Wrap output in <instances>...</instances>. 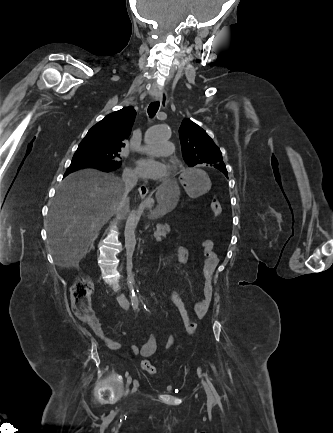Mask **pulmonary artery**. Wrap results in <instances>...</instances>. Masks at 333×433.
Listing matches in <instances>:
<instances>
[{"label":"pulmonary artery","mask_w":333,"mask_h":433,"mask_svg":"<svg viewBox=\"0 0 333 433\" xmlns=\"http://www.w3.org/2000/svg\"><path fill=\"white\" fill-rule=\"evenodd\" d=\"M138 152L145 155H171L174 151L173 144L170 141H161L156 145H143L137 149Z\"/></svg>","instance_id":"pulmonary-artery-1"}]
</instances>
